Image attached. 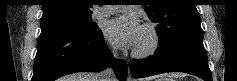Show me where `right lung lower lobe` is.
<instances>
[{
	"instance_id": "98d812e1",
	"label": "right lung lower lobe",
	"mask_w": 237,
	"mask_h": 81,
	"mask_svg": "<svg viewBox=\"0 0 237 81\" xmlns=\"http://www.w3.org/2000/svg\"><path fill=\"white\" fill-rule=\"evenodd\" d=\"M112 65L120 81L127 77L124 60H114L102 32L83 35L60 29H43L38 38L32 81H54L75 72H99Z\"/></svg>"
}]
</instances>
